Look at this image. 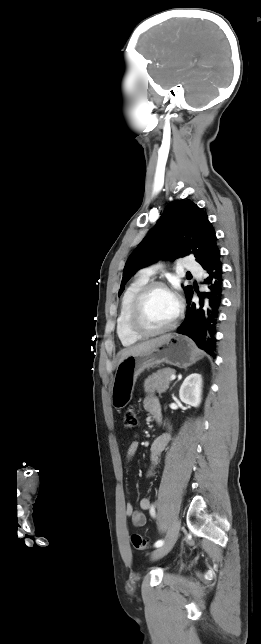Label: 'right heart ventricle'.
I'll return each mask as SVG.
<instances>
[{
  "instance_id": "1",
  "label": "right heart ventricle",
  "mask_w": 261,
  "mask_h": 644,
  "mask_svg": "<svg viewBox=\"0 0 261 644\" xmlns=\"http://www.w3.org/2000/svg\"><path fill=\"white\" fill-rule=\"evenodd\" d=\"M149 281V277L140 273L135 279H133L129 285L126 287L121 303L120 310L117 319V335L124 346H131L136 344L140 338L135 336L129 329L128 319L131 304L137 292L140 288Z\"/></svg>"
}]
</instances>
